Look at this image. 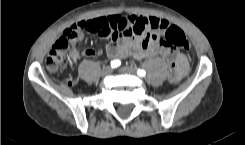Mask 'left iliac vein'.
<instances>
[{
	"label": "left iliac vein",
	"instance_id": "obj_1",
	"mask_svg": "<svg viewBox=\"0 0 245 145\" xmlns=\"http://www.w3.org/2000/svg\"><path fill=\"white\" fill-rule=\"evenodd\" d=\"M120 71L125 74H130V75L136 74V69L132 66H124L120 69Z\"/></svg>",
	"mask_w": 245,
	"mask_h": 145
}]
</instances>
